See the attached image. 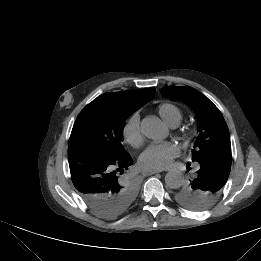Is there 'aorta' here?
<instances>
[{
	"label": "aorta",
	"mask_w": 261,
	"mask_h": 261,
	"mask_svg": "<svg viewBox=\"0 0 261 261\" xmlns=\"http://www.w3.org/2000/svg\"><path fill=\"white\" fill-rule=\"evenodd\" d=\"M142 134L153 140L163 138L166 134V128L163 123L155 117H146L141 123ZM165 183L171 189H177L183 184V175L180 171L171 170L165 175Z\"/></svg>",
	"instance_id": "762f6f07"
}]
</instances>
